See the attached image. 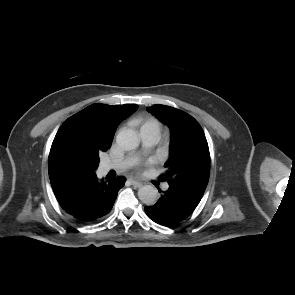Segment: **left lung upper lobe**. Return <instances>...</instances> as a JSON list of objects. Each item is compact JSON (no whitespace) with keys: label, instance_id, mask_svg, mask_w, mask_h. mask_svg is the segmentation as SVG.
<instances>
[{"label":"left lung upper lobe","instance_id":"obj_1","mask_svg":"<svg viewBox=\"0 0 295 295\" xmlns=\"http://www.w3.org/2000/svg\"><path fill=\"white\" fill-rule=\"evenodd\" d=\"M147 110L166 124L171 131L166 173L159 180L189 189L205 191L210 176L208 143L199 123L189 114L165 105H154Z\"/></svg>","mask_w":295,"mask_h":295}]
</instances>
